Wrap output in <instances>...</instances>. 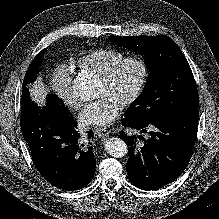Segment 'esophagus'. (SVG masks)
<instances>
[{"mask_svg":"<svg viewBox=\"0 0 219 219\" xmlns=\"http://www.w3.org/2000/svg\"><path fill=\"white\" fill-rule=\"evenodd\" d=\"M95 134L101 138H105L109 135V130L106 128H99L95 130Z\"/></svg>","mask_w":219,"mask_h":219,"instance_id":"obj_1","label":"esophagus"}]
</instances>
